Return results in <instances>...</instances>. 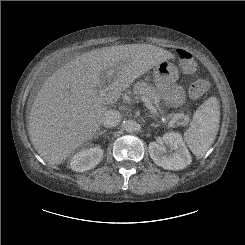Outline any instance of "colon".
Here are the masks:
<instances>
[{
	"instance_id": "5ec220e1",
	"label": "colon",
	"mask_w": 245,
	"mask_h": 245,
	"mask_svg": "<svg viewBox=\"0 0 245 245\" xmlns=\"http://www.w3.org/2000/svg\"><path fill=\"white\" fill-rule=\"evenodd\" d=\"M178 57L181 71L193 77L189 86V96L191 98L201 97L208 91L209 82L206 79L196 77L197 64L190 52L180 49L178 50Z\"/></svg>"
}]
</instances>
